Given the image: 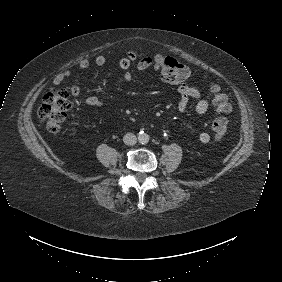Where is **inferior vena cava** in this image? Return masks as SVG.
<instances>
[{
  "mask_svg": "<svg viewBox=\"0 0 282 282\" xmlns=\"http://www.w3.org/2000/svg\"><path fill=\"white\" fill-rule=\"evenodd\" d=\"M123 142L125 145L133 146L137 143V138L133 133H127L123 136Z\"/></svg>",
  "mask_w": 282,
  "mask_h": 282,
  "instance_id": "602c4592",
  "label": "inferior vena cava"
}]
</instances>
